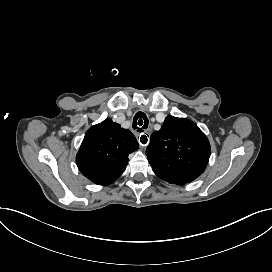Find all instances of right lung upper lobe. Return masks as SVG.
<instances>
[{
  "instance_id": "obj_1",
  "label": "right lung upper lobe",
  "mask_w": 272,
  "mask_h": 272,
  "mask_svg": "<svg viewBox=\"0 0 272 272\" xmlns=\"http://www.w3.org/2000/svg\"><path fill=\"white\" fill-rule=\"evenodd\" d=\"M134 135L110 119L91 127L76 156L79 170L98 185L119 178L128 164V155L138 149Z\"/></svg>"
}]
</instances>
